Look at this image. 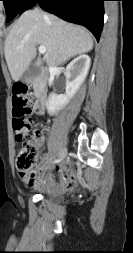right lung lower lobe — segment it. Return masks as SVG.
Here are the masks:
<instances>
[{
	"instance_id": "1",
	"label": "right lung lower lobe",
	"mask_w": 133,
	"mask_h": 253,
	"mask_svg": "<svg viewBox=\"0 0 133 253\" xmlns=\"http://www.w3.org/2000/svg\"><path fill=\"white\" fill-rule=\"evenodd\" d=\"M105 0H26L19 14L39 3L42 9L56 16L87 27L99 41L103 28Z\"/></svg>"
}]
</instances>
